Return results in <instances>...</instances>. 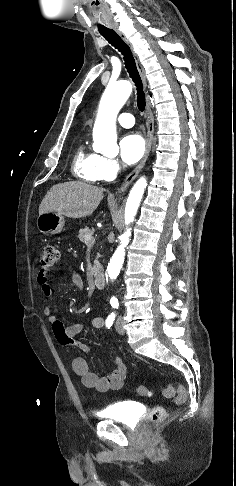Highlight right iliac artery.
<instances>
[{"label":"right iliac artery","instance_id":"82829eb1","mask_svg":"<svg viewBox=\"0 0 236 486\" xmlns=\"http://www.w3.org/2000/svg\"><path fill=\"white\" fill-rule=\"evenodd\" d=\"M115 316L116 315L113 312L108 316V318L106 319V326H107V328H110L112 326L113 321L115 320Z\"/></svg>","mask_w":236,"mask_h":486}]
</instances>
